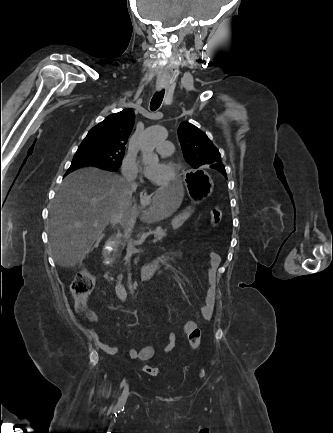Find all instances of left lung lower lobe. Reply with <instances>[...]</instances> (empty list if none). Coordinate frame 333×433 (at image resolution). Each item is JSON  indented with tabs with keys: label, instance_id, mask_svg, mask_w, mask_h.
Masks as SVG:
<instances>
[{
	"label": "left lung lower lobe",
	"instance_id": "0a47b994",
	"mask_svg": "<svg viewBox=\"0 0 333 433\" xmlns=\"http://www.w3.org/2000/svg\"><path fill=\"white\" fill-rule=\"evenodd\" d=\"M210 168L216 169V170H218V171H220V170L223 171V169H222L221 167L217 166V165H210ZM220 172H221V171H220ZM225 177H226V173H225Z\"/></svg>",
	"mask_w": 333,
	"mask_h": 433
}]
</instances>
